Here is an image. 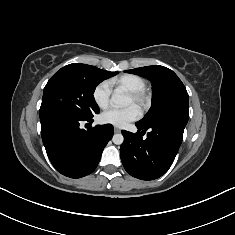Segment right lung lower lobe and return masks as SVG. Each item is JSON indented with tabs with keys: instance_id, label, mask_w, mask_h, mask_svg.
<instances>
[{
	"instance_id": "right-lung-lower-lobe-1",
	"label": "right lung lower lobe",
	"mask_w": 235,
	"mask_h": 235,
	"mask_svg": "<svg viewBox=\"0 0 235 235\" xmlns=\"http://www.w3.org/2000/svg\"><path fill=\"white\" fill-rule=\"evenodd\" d=\"M42 140L52 165L61 174L81 178L97 167L102 151L113 136L110 124L81 129L82 121L60 116L40 118Z\"/></svg>"
}]
</instances>
